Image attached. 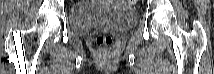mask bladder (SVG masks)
Masks as SVG:
<instances>
[{"label": "bladder", "instance_id": "1", "mask_svg": "<svg viewBox=\"0 0 214 74\" xmlns=\"http://www.w3.org/2000/svg\"><path fill=\"white\" fill-rule=\"evenodd\" d=\"M136 14L120 7H110L105 4H76L68 14L70 30L83 35L88 28L96 24L111 25L118 30L131 27L136 22Z\"/></svg>", "mask_w": 214, "mask_h": 74}]
</instances>
